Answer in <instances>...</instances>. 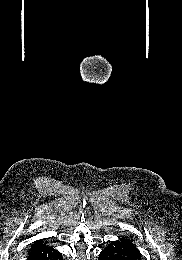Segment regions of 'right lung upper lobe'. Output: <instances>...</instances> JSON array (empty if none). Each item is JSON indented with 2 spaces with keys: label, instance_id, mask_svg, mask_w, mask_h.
Masks as SVG:
<instances>
[{
  "label": "right lung upper lobe",
  "instance_id": "cb5924a9",
  "mask_svg": "<svg viewBox=\"0 0 182 260\" xmlns=\"http://www.w3.org/2000/svg\"><path fill=\"white\" fill-rule=\"evenodd\" d=\"M36 242H41V240H39V241H35L34 243H36Z\"/></svg>",
  "mask_w": 182,
  "mask_h": 260
}]
</instances>
